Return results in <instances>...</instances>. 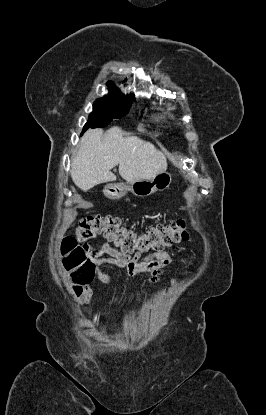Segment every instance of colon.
I'll return each mask as SVG.
<instances>
[{
  "mask_svg": "<svg viewBox=\"0 0 266 415\" xmlns=\"http://www.w3.org/2000/svg\"><path fill=\"white\" fill-rule=\"evenodd\" d=\"M97 236H102L117 246L122 253L163 250L174 243L188 239L185 222L175 220L159 224L143 233H136L122 225L113 216L90 215L78 219L74 236H68L61 243L64 268L75 285L76 292L89 284L96 273V264L88 246L80 245Z\"/></svg>",
  "mask_w": 266,
  "mask_h": 415,
  "instance_id": "5ec220e1",
  "label": "colon"
}]
</instances>
